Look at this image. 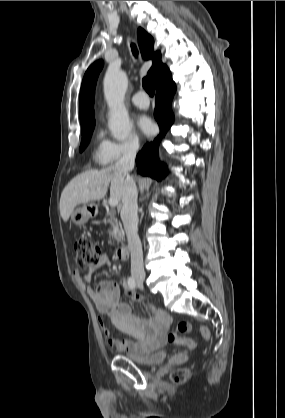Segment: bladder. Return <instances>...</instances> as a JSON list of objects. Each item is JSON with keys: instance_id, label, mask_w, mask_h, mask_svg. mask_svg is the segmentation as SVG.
Wrapping results in <instances>:
<instances>
[{"instance_id": "1", "label": "bladder", "mask_w": 285, "mask_h": 418, "mask_svg": "<svg viewBox=\"0 0 285 418\" xmlns=\"http://www.w3.org/2000/svg\"><path fill=\"white\" fill-rule=\"evenodd\" d=\"M124 355L131 361L140 365H153L162 363L166 358L165 351L161 349L147 352L126 351Z\"/></svg>"}]
</instances>
